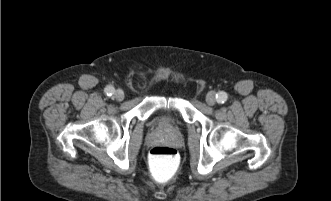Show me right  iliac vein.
<instances>
[{
	"instance_id": "right-iliac-vein-1",
	"label": "right iliac vein",
	"mask_w": 331,
	"mask_h": 201,
	"mask_svg": "<svg viewBox=\"0 0 331 201\" xmlns=\"http://www.w3.org/2000/svg\"><path fill=\"white\" fill-rule=\"evenodd\" d=\"M124 92L123 90L121 89H118L115 91V94H114V98L117 100V101H122L124 99Z\"/></svg>"
}]
</instances>
